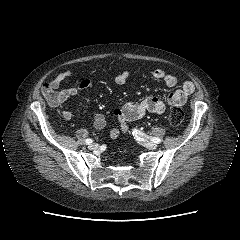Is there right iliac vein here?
I'll return each mask as SVG.
<instances>
[{"mask_svg":"<svg viewBox=\"0 0 240 240\" xmlns=\"http://www.w3.org/2000/svg\"><path fill=\"white\" fill-rule=\"evenodd\" d=\"M88 148H89L90 150H95V149L98 148V145H97L96 143H91V144L88 145Z\"/></svg>","mask_w":240,"mask_h":240,"instance_id":"obj_1","label":"right iliac vein"}]
</instances>
